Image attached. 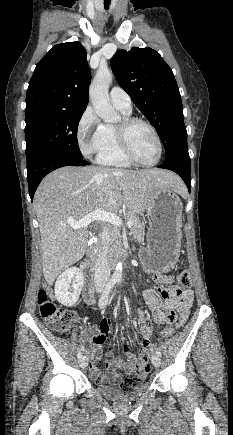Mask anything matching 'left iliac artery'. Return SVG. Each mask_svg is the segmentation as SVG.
<instances>
[{
    "mask_svg": "<svg viewBox=\"0 0 233 435\" xmlns=\"http://www.w3.org/2000/svg\"><path fill=\"white\" fill-rule=\"evenodd\" d=\"M118 282L121 283V280L119 279ZM156 354H157L158 356H161V352H160L159 350L156 351Z\"/></svg>",
    "mask_w": 233,
    "mask_h": 435,
    "instance_id": "44dca946",
    "label": "left iliac artery"
}]
</instances>
